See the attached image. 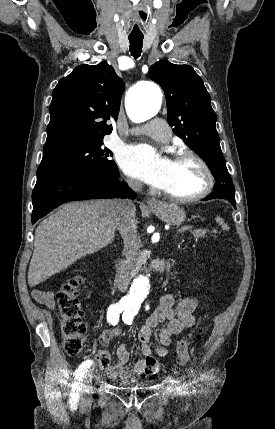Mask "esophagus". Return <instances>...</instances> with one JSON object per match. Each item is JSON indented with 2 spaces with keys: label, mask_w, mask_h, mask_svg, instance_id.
Returning <instances> with one entry per match:
<instances>
[{
  "label": "esophagus",
  "mask_w": 275,
  "mask_h": 429,
  "mask_svg": "<svg viewBox=\"0 0 275 429\" xmlns=\"http://www.w3.org/2000/svg\"><path fill=\"white\" fill-rule=\"evenodd\" d=\"M147 204L150 207H158V206H160V203L156 199H154V198H149L147 200Z\"/></svg>",
  "instance_id": "1"
}]
</instances>
